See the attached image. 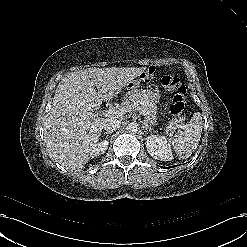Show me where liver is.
<instances>
[{"instance_id": "6515ba94", "label": "liver", "mask_w": 247, "mask_h": 247, "mask_svg": "<svg viewBox=\"0 0 247 247\" xmlns=\"http://www.w3.org/2000/svg\"><path fill=\"white\" fill-rule=\"evenodd\" d=\"M145 67L88 68L61 79L44 122V142L51 159L66 169L81 170L90 160L105 122L91 111L120 93ZM97 87L98 92L94 90Z\"/></svg>"}]
</instances>
